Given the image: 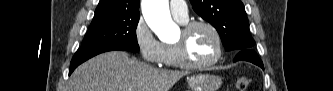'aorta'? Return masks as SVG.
I'll return each instance as SVG.
<instances>
[{"label": "aorta", "instance_id": "1", "mask_svg": "<svg viewBox=\"0 0 333 91\" xmlns=\"http://www.w3.org/2000/svg\"><path fill=\"white\" fill-rule=\"evenodd\" d=\"M142 13L160 40H169L177 34L178 27L171 18L168 0H142Z\"/></svg>", "mask_w": 333, "mask_h": 91}]
</instances>
